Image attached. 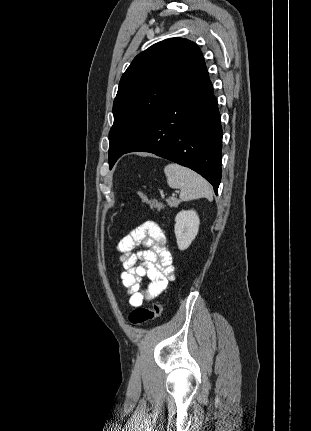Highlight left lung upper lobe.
Listing matches in <instances>:
<instances>
[{
	"label": "left lung upper lobe",
	"instance_id": "5c2ea615",
	"mask_svg": "<svg viewBox=\"0 0 311 431\" xmlns=\"http://www.w3.org/2000/svg\"><path fill=\"white\" fill-rule=\"evenodd\" d=\"M203 62L199 47L178 37L158 42L134 58L121 77L114 100L110 169L146 133L165 104Z\"/></svg>",
	"mask_w": 311,
	"mask_h": 431
}]
</instances>
